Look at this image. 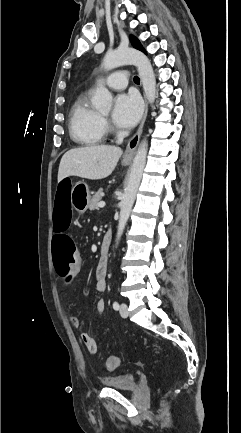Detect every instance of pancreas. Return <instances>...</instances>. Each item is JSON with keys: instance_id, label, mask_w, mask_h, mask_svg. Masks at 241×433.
Returning a JSON list of instances; mask_svg holds the SVG:
<instances>
[{"instance_id": "obj_1", "label": "pancreas", "mask_w": 241, "mask_h": 433, "mask_svg": "<svg viewBox=\"0 0 241 433\" xmlns=\"http://www.w3.org/2000/svg\"><path fill=\"white\" fill-rule=\"evenodd\" d=\"M102 194H103V190L99 189L95 195L91 198L90 202H89V209L91 211L97 210L98 209V204L102 199Z\"/></svg>"}]
</instances>
